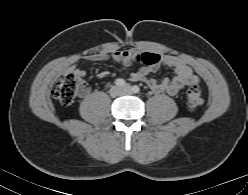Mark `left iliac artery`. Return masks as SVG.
I'll use <instances>...</instances> for the list:
<instances>
[{"mask_svg":"<svg viewBox=\"0 0 248 195\" xmlns=\"http://www.w3.org/2000/svg\"><path fill=\"white\" fill-rule=\"evenodd\" d=\"M140 88L137 85L132 86V92L139 93Z\"/></svg>","mask_w":248,"mask_h":195,"instance_id":"obj_1","label":"left iliac artery"}]
</instances>
